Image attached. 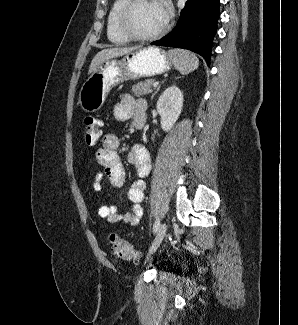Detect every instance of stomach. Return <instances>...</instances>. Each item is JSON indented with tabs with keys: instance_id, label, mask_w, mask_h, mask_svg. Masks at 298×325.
<instances>
[{
	"instance_id": "0dacf381",
	"label": "stomach",
	"mask_w": 298,
	"mask_h": 325,
	"mask_svg": "<svg viewBox=\"0 0 298 325\" xmlns=\"http://www.w3.org/2000/svg\"><path fill=\"white\" fill-rule=\"evenodd\" d=\"M174 64L171 56L160 46H142L123 54L122 58H109L99 64L79 90V104L85 112H96L102 108L110 90L126 80L151 78L164 74Z\"/></svg>"
}]
</instances>
